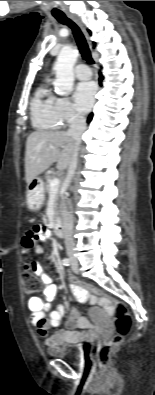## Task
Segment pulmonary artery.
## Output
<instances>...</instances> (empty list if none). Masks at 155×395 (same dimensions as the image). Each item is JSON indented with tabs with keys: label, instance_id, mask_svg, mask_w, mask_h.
<instances>
[{
	"label": "pulmonary artery",
	"instance_id": "obj_1",
	"mask_svg": "<svg viewBox=\"0 0 155 395\" xmlns=\"http://www.w3.org/2000/svg\"><path fill=\"white\" fill-rule=\"evenodd\" d=\"M75 75L77 78L86 80L91 77V70L85 64H78L74 69Z\"/></svg>",
	"mask_w": 155,
	"mask_h": 395
}]
</instances>
